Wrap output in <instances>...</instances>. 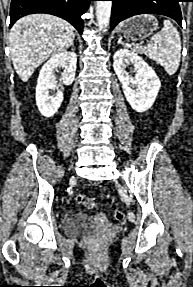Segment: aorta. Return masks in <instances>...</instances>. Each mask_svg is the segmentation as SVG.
<instances>
[{
  "label": "aorta",
  "mask_w": 193,
  "mask_h": 287,
  "mask_svg": "<svg viewBox=\"0 0 193 287\" xmlns=\"http://www.w3.org/2000/svg\"><path fill=\"white\" fill-rule=\"evenodd\" d=\"M112 1H96V18L100 30L105 31L109 26Z\"/></svg>",
  "instance_id": "aorta-1"
}]
</instances>
